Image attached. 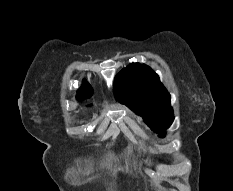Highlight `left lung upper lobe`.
I'll use <instances>...</instances> for the list:
<instances>
[{
  "instance_id": "left-lung-upper-lobe-1",
  "label": "left lung upper lobe",
  "mask_w": 233,
  "mask_h": 191,
  "mask_svg": "<svg viewBox=\"0 0 233 191\" xmlns=\"http://www.w3.org/2000/svg\"><path fill=\"white\" fill-rule=\"evenodd\" d=\"M114 95L142 116L154 132L164 133L173 122L170 94L158 75L145 64L132 63L121 70L115 77Z\"/></svg>"
}]
</instances>
